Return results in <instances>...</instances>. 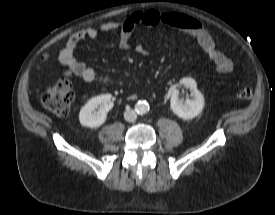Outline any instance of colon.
<instances>
[{"instance_id":"5ec220e1","label":"colon","mask_w":275,"mask_h":215,"mask_svg":"<svg viewBox=\"0 0 275 215\" xmlns=\"http://www.w3.org/2000/svg\"><path fill=\"white\" fill-rule=\"evenodd\" d=\"M252 95L253 92L250 87H243L237 92L238 98L243 100L250 99ZM74 99L70 80L68 77H63L45 89L42 95V104L56 116L67 118L71 114Z\"/></svg>"}]
</instances>
